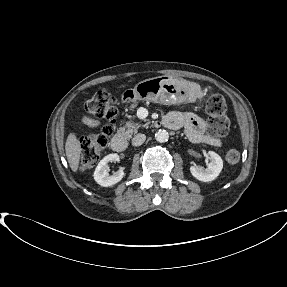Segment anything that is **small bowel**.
Segmentation results:
<instances>
[{"label":"small bowel","instance_id":"small-bowel-1","mask_svg":"<svg viewBox=\"0 0 287 287\" xmlns=\"http://www.w3.org/2000/svg\"><path fill=\"white\" fill-rule=\"evenodd\" d=\"M165 122H168L169 128H183L188 138L195 143H205L211 146H220L221 140L213 138L206 134V123L204 119L196 114L189 112H170L165 117ZM83 123L89 126H96L97 123L91 119H83Z\"/></svg>","mask_w":287,"mask_h":287}]
</instances>
